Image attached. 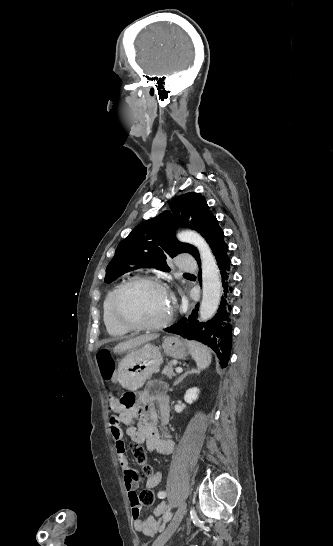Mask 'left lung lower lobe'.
I'll return each mask as SVG.
<instances>
[{
	"mask_svg": "<svg viewBox=\"0 0 333 546\" xmlns=\"http://www.w3.org/2000/svg\"><path fill=\"white\" fill-rule=\"evenodd\" d=\"M221 273V280L224 287V296L216 315L207 322H199L197 319L198 307L194 309L189 317H185L165 331L182 336L189 340H197L213 349L220 360L222 368L226 367L230 359L232 343L231 307L230 294L232 287L229 286L230 259L227 256L228 245L224 241V233L218 221L215 220L211 233L207 239ZM198 264L201 265L199 253L195 256Z\"/></svg>",
	"mask_w": 333,
	"mask_h": 546,
	"instance_id": "obj_1",
	"label": "left lung lower lobe"
}]
</instances>
